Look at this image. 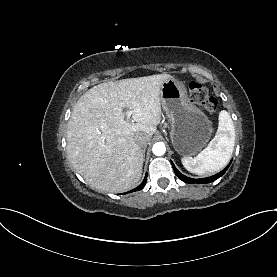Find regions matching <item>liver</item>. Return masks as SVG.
I'll return each mask as SVG.
<instances>
[{"mask_svg":"<svg viewBox=\"0 0 277 277\" xmlns=\"http://www.w3.org/2000/svg\"><path fill=\"white\" fill-rule=\"evenodd\" d=\"M170 78L157 74L101 83L78 99L68 122L67 154L91 187L119 193L138 184L144 157L135 136L150 139L155 133L161 86ZM124 109L132 112V121Z\"/></svg>","mask_w":277,"mask_h":277,"instance_id":"1","label":"liver"}]
</instances>
